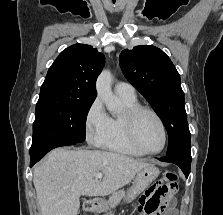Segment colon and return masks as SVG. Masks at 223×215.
Masks as SVG:
<instances>
[{
  "mask_svg": "<svg viewBox=\"0 0 223 215\" xmlns=\"http://www.w3.org/2000/svg\"><path fill=\"white\" fill-rule=\"evenodd\" d=\"M163 180L166 184H168L170 186H177L178 176L174 172H165L163 175ZM160 209L161 208L157 205H153L151 207V210H153V211H160ZM79 215H81V214H79Z\"/></svg>",
  "mask_w": 223,
  "mask_h": 215,
  "instance_id": "5ec220e1",
  "label": "colon"
}]
</instances>
